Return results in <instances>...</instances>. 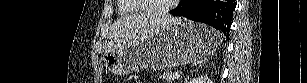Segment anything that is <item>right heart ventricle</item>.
I'll list each match as a JSON object with an SVG mask.
<instances>
[{
  "label": "right heart ventricle",
  "mask_w": 307,
  "mask_h": 83,
  "mask_svg": "<svg viewBox=\"0 0 307 83\" xmlns=\"http://www.w3.org/2000/svg\"><path fill=\"white\" fill-rule=\"evenodd\" d=\"M142 10L133 0H119L118 12L119 14L137 13ZM143 11V10H142Z\"/></svg>",
  "instance_id": "obj_1"
}]
</instances>
